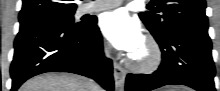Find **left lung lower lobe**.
I'll use <instances>...</instances> for the list:
<instances>
[{"label":"left lung lower lobe","mask_w":220,"mask_h":91,"mask_svg":"<svg viewBox=\"0 0 220 91\" xmlns=\"http://www.w3.org/2000/svg\"><path fill=\"white\" fill-rule=\"evenodd\" d=\"M156 41L163 59L159 69L151 75L128 74L126 91H150L165 85L215 91L212 44L207 32L178 29Z\"/></svg>","instance_id":"obj_1"}]
</instances>
